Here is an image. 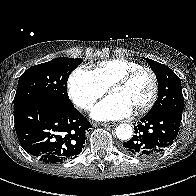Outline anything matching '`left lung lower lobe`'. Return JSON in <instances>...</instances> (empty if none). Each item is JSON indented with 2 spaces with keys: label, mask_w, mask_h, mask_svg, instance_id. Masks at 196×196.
<instances>
[{
  "label": "left lung lower lobe",
  "mask_w": 196,
  "mask_h": 196,
  "mask_svg": "<svg viewBox=\"0 0 196 196\" xmlns=\"http://www.w3.org/2000/svg\"><path fill=\"white\" fill-rule=\"evenodd\" d=\"M181 120V114L167 110L148 113L134 126L135 135L123 144L124 152L142 158L161 153L176 139Z\"/></svg>",
  "instance_id": "0a47b994"
}]
</instances>
